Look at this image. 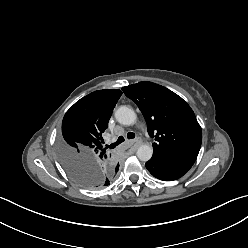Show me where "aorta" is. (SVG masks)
Wrapping results in <instances>:
<instances>
[{
  "label": "aorta",
  "instance_id": "obj_1",
  "mask_svg": "<svg viewBox=\"0 0 248 248\" xmlns=\"http://www.w3.org/2000/svg\"><path fill=\"white\" fill-rule=\"evenodd\" d=\"M116 120L123 125H133L136 122L137 116L133 109L127 106H120L115 111ZM153 154V149L147 144H142L137 150V157L141 161H148Z\"/></svg>",
  "mask_w": 248,
  "mask_h": 248
}]
</instances>
